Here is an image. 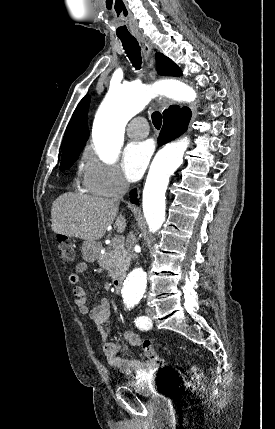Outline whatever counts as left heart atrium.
I'll list each match as a JSON object with an SVG mask.
<instances>
[{"instance_id": "39dd6f15", "label": "left heart atrium", "mask_w": 275, "mask_h": 429, "mask_svg": "<svg viewBox=\"0 0 275 429\" xmlns=\"http://www.w3.org/2000/svg\"><path fill=\"white\" fill-rule=\"evenodd\" d=\"M153 152L149 141L131 142L124 149L122 170L129 181H137L144 173Z\"/></svg>"}]
</instances>
